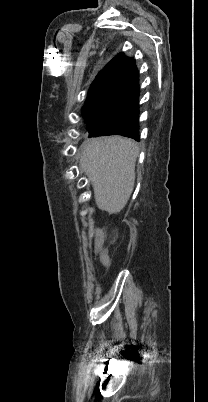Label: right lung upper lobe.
Segmentation results:
<instances>
[{
  "label": "right lung upper lobe",
  "instance_id": "1",
  "mask_svg": "<svg viewBox=\"0 0 208 402\" xmlns=\"http://www.w3.org/2000/svg\"><path fill=\"white\" fill-rule=\"evenodd\" d=\"M132 61L133 59L125 57L123 52L115 56L97 75L89 90V94L98 93L109 88L110 84L127 68Z\"/></svg>",
  "mask_w": 208,
  "mask_h": 402
}]
</instances>
